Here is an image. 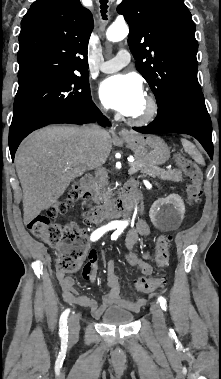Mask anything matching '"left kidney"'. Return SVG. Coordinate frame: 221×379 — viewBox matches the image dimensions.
I'll return each instance as SVG.
<instances>
[{
  "label": "left kidney",
  "mask_w": 221,
  "mask_h": 379,
  "mask_svg": "<svg viewBox=\"0 0 221 379\" xmlns=\"http://www.w3.org/2000/svg\"><path fill=\"white\" fill-rule=\"evenodd\" d=\"M185 214V205L178 194L170 195L167 200L158 199L151 206L149 215L158 229L172 230L178 227Z\"/></svg>",
  "instance_id": "left-kidney-1"
}]
</instances>
